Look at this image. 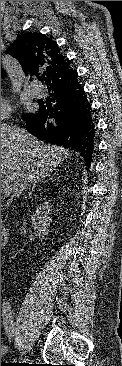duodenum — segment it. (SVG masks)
<instances>
[{
  "instance_id": "410a0bca",
  "label": "duodenum",
  "mask_w": 122,
  "mask_h": 366,
  "mask_svg": "<svg viewBox=\"0 0 122 366\" xmlns=\"http://www.w3.org/2000/svg\"><path fill=\"white\" fill-rule=\"evenodd\" d=\"M7 239V234L1 222V244Z\"/></svg>"
}]
</instances>
